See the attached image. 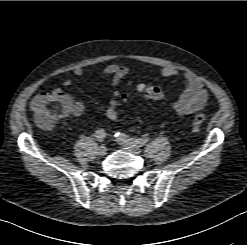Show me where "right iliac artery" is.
Listing matches in <instances>:
<instances>
[{"label":"right iliac artery","mask_w":247,"mask_h":245,"mask_svg":"<svg viewBox=\"0 0 247 245\" xmlns=\"http://www.w3.org/2000/svg\"><path fill=\"white\" fill-rule=\"evenodd\" d=\"M95 137L98 141L102 142L106 137V133L103 129H98L95 133Z\"/></svg>","instance_id":"82829eb1"}]
</instances>
